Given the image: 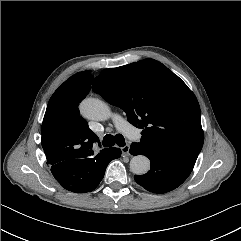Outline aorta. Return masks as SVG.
Returning a JSON list of instances; mask_svg holds the SVG:
<instances>
[{"instance_id":"1","label":"aorta","mask_w":241,"mask_h":241,"mask_svg":"<svg viewBox=\"0 0 241 241\" xmlns=\"http://www.w3.org/2000/svg\"><path fill=\"white\" fill-rule=\"evenodd\" d=\"M83 116L96 121L107 120L111 116V109L107 103L96 98H86L80 104ZM150 169V161L144 155L134 156L130 161V170L136 175H144Z\"/></svg>"}]
</instances>
